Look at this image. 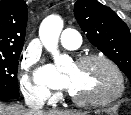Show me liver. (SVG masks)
Segmentation results:
<instances>
[{
	"mask_svg": "<svg viewBox=\"0 0 131 115\" xmlns=\"http://www.w3.org/2000/svg\"><path fill=\"white\" fill-rule=\"evenodd\" d=\"M0 115H77L74 112L49 110L35 114L32 110H28L21 105L6 106L0 103Z\"/></svg>",
	"mask_w": 131,
	"mask_h": 115,
	"instance_id": "1",
	"label": "liver"
}]
</instances>
